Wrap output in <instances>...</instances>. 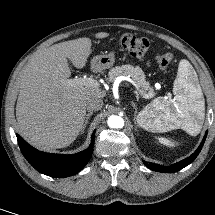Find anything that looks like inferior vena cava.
<instances>
[{"mask_svg":"<svg viewBox=\"0 0 215 215\" xmlns=\"http://www.w3.org/2000/svg\"><path fill=\"white\" fill-rule=\"evenodd\" d=\"M85 107L88 111H98L103 106V100L98 97H89L85 101Z\"/></svg>","mask_w":215,"mask_h":215,"instance_id":"602c4592","label":"inferior vena cava"}]
</instances>
